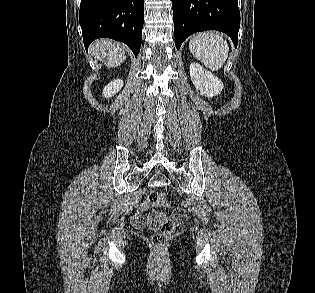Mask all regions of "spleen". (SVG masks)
Returning <instances> with one entry per match:
<instances>
[{"label":"spleen","instance_id":"1","mask_svg":"<svg viewBox=\"0 0 315 293\" xmlns=\"http://www.w3.org/2000/svg\"><path fill=\"white\" fill-rule=\"evenodd\" d=\"M189 49L196 59L213 71L222 67L229 52L227 41L215 32L194 35L189 42Z\"/></svg>","mask_w":315,"mask_h":293}]
</instances>
